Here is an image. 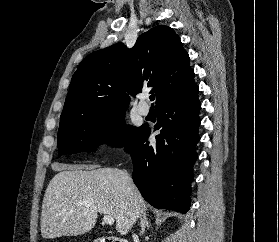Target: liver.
I'll list each match as a JSON object with an SVG mask.
<instances>
[{
    "mask_svg": "<svg viewBox=\"0 0 279 242\" xmlns=\"http://www.w3.org/2000/svg\"><path fill=\"white\" fill-rule=\"evenodd\" d=\"M59 169L43 198L40 226L45 239L84 234L94 227L98 213L112 216L124 236L147 209L125 171L72 165Z\"/></svg>",
    "mask_w": 279,
    "mask_h": 242,
    "instance_id": "obj_1",
    "label": "liver"
}]
</instances>
